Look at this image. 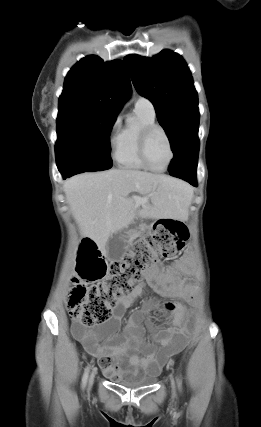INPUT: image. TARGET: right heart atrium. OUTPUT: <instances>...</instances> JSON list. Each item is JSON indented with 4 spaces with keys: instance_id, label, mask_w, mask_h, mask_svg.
<instances>
[{
    "instance_id": "d8ad5b80",
    "label": "right heart atrium",
    "mask_w": 261,
    "mask_h": 427,
    "mask_svg": "<svg viewBox=\"0 0 261 427\" xmlns=\"http://www.w3.org/2000/svg\"><path fill=\"white\" fill-rule=\"evenodd\" d=\"M119 138V119L116 118L109 129L108 143L112 149H116Z\"/></svg>"
}]
</instances>
